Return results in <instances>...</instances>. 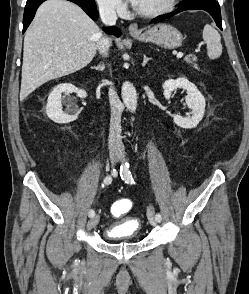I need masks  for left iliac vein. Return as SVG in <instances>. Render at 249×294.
<instances>
[{
    "label": "left iliac vein",
    "mask_w": 249,
    "mask_h": 294,
    "mask_svg": "<svg viewBox=\"0 0 249 294\" xmlns=\"http://www.w3.org/2000/svg\"><path fill=\"white\" fill-rule=\"evenodd\" d=\"M118 160H120V161L124 160V153L122 151L119 152ZM147 216H148V220H149L151 226L155 227L156 226V220L154 218V209H153L152 206L148 207Z\"/></svg>",
    "instance_id": "left-iliac-vein-1"
}]
</instances>
